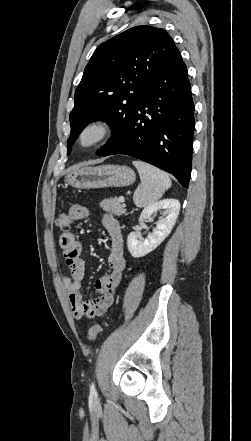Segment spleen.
<instances>
[{
	"label": "spleen",
	"instance_id": "1",
	"mask_svg": "<svg viewBox=\"0 0 251 441\" xmlns=\"http://www.w3.org/2000/svg\"><path fill=\"white\" fill-rule=\"evenodd\" d=\"M133 165L140 175L141 184L134 192L137 207H145L162 197L172 183L167 173L143 161L134 160Z\"/></svg>",
	"mask_w": 251,
	"mask_h": 441
}]
</instances>
